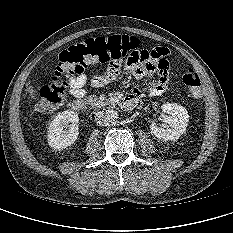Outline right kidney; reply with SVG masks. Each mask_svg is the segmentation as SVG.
Returning a JSON list of instances; mask_svg holds the SVG:
<instances>
[{
  "label": "right kidney",
  "mask_w": 233,
  "mask_h": 233,
  "mask_svg": "<svg viewBox=\"0 0 233 233\" xmlns=\"http://www.w3.org/2000/svg\"><path fill=\"white\" fill-rule=\"evenodd\" d=\"M69 128V130H64ZM79 135V117L73 111L59 113L48 128V144L50 147L62 150L75 143Z\"/></svg>",
  "instance_id": "ca27d5eb"
}]
</instances>
